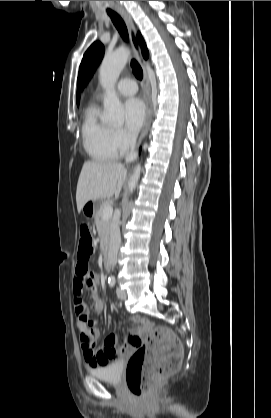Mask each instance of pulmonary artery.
Here are the masks:
<instances>
[{
  "label": "pulmonary artery",
  "mask_w": 271,
  "mask_h": 418,
  "mask_svg": "<svg viewBox=\"0 0 271 418\" xmlns=\"http://www.w3.org/2000/svg\"><path fill=\"white\" fill-rule=\"evenodd\" d=\"M117 91L122 96H132L136 94L138 87L134 80L130 78H122L117 83Z\"/></svg>",
  "instance_id": "obj_1"
}]
</instances>
